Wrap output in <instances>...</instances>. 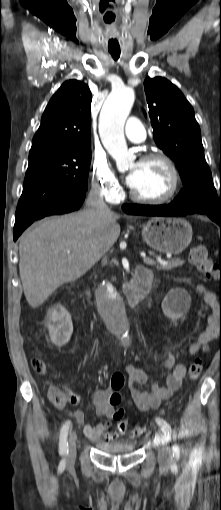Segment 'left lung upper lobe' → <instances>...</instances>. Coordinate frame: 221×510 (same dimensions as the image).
Here are the masks:
<instances>
[{"label":"left lung upper lobe","instance_id":"1","mask_svg":"<svg viewBox=\"0 0 221 510\" xmlns=\"http://www.w3.org/2000/svg\"><path fill=\"white\" fill-rule=\"evenodd\" d=\"M146 111L153 137L177 165L183 189L171 202L182 209L221 210L212 175L204 157L200 127L182 92L162 77L146 78Z\"/></svg>","mask_w":221,"mask_h":510}]
</instances>
